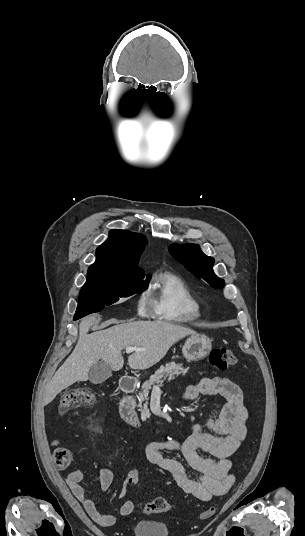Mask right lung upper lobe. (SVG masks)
<instances>
[{
  "mask_svg": "<svg viewBox=\"0 0 305 536\" xmlns=\"http://www.w3.org/2000/svg\"><path fill=\"white\" fill-rule=\"evenodd\" d=\"M147 244L141 235L126 230H111L109 238L96 250V262L88 269L89 279L145 278L137 266Z\"/></svg>",
  "mask_w": 305,
  "mask_h": 536,
  "instance_id": "1",
  "label": "right lung upper lobe"
}]
</instances>
